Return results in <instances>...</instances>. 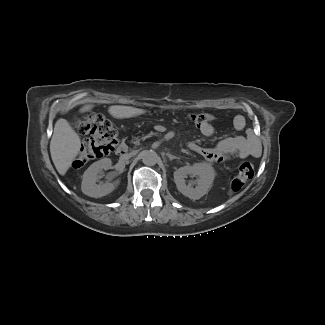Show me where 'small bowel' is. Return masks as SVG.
I'll return each mask as SVG.
<instances>
[{"label":"small bowel","mask_w":325,"mask_h":325,"mask_svg":"<svg viewBox=\"0 0 325 325\" xmlns=\"http://www.w3.org/2000/svg\"><path fill=\"white\" fill-rule=\"evenodd\" d=\"M210 119L199 127L200 132L205 136H213L216 134L215 123L218 118L209 114ZM245 127V118L241 115H236L233 118V128L240 131ZM190 149L202 155L205 159L212 162H223L230 157L245 158L251 155H256L257 150L251 142L243 135H234L223 138L213 147H204L198 144L191 143Z\"/></svg>","instance_id":"c3829d8e"}]
</instances>
